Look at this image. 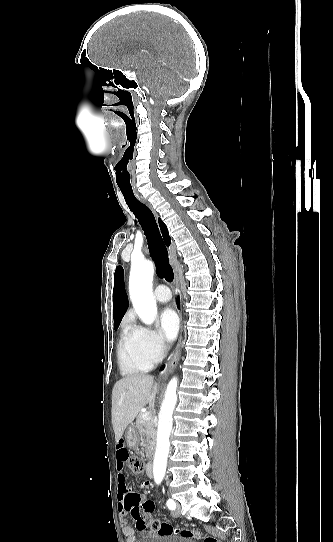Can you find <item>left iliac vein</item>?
Returning <instances> with one entry per match:
<instances>
[{
	"label": "left iliac vein",
	"mask_w": 333,
	"mask_h": 542,
	"mask_svg": "<svg viewBox=\"0 0 333 542\" xmlns=\"http://www.w3.org/2000/svg\"><path fill=\"white\" fill-rule=\"evenodd\" d=\"M179 507H180V504L177 502V509L173 511L172 515L174 517H177L179 516L180 512H179Z\"/></svg>",
	"instance_id": "obj_1"
}]
</instances>
